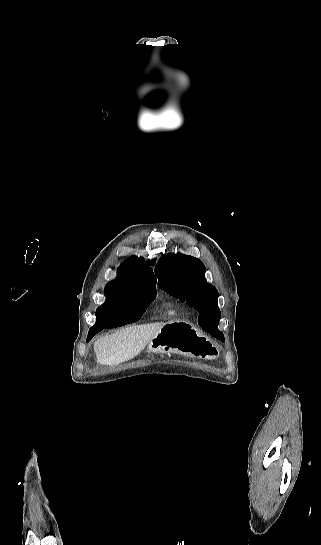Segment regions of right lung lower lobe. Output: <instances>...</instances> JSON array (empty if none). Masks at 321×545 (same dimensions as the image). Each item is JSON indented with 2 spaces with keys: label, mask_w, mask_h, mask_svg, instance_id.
<instances>
[{
  "label": "right lung lower lobe",
  "mask_w": 321,
  "mask_h": 545,
  "mask_svg": "<svg viewBox=\"0 0 321 545\" xmlns=\"http://www.w3.org/2000/svg\"><path fill=\"white\" fill-rule=\"evenodd\" d=\"M139 305L137 301H120L114 302L108 305H101L96 314L108 324L98 326L95 324L90 328L87 341H89L95 334L99 333L103 329L115 328L122 325L135 322L139 313Z\"/></svg>",
  "instance_id": "right-lung-lower-lobe-1"
}]
</instances>
